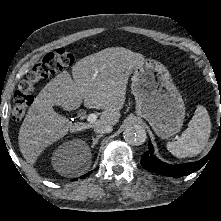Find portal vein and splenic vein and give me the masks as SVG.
I'll return each instance as SVG.
<instances>
[{"label": "portal vein and splenic vein", "mask_w": 221, "mask_h": 221, "mask_svg": "<svg viewBox=\"0 0 221 221\" xmlns=\"http://www.w3.org/2000/svg\"><path fill=\"white\" fill-rule=\"evenodd\" d=\"M96 119H97V115H96V114H94V113L89 114V115L87 116V121H88V122H90V123L95 122V121H96Z\"/></svg>", "instance_id": "18ae733b"}]
</instances>
